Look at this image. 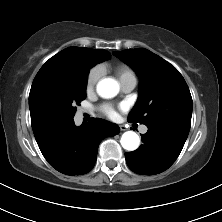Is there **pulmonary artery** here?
<instances>
[{"mask_svg": "<svg viewBox=\"0 0 222 222\" xmlns=\"http://www.w3.org/2000/svg\"><path fill=\"white\" fill-rule=\"evenodd\" d=\"M136 86V79H127L121 82V90L124 93H129L131 92ZM148 128L143 125L140 127V132L141 133H146Z\"/></svg>", "mask_w": 222, "mask_h": 222, "instance_id": "e3ab8cb5", "label": "pulmonary artery"}]
</instances>
